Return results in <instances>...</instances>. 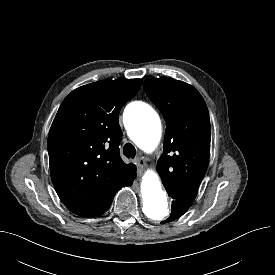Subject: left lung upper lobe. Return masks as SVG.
Here are the masks:
<instances>
[{
    "mask_svg": "<svg viewBox=\"0 0 275 275\" xmlns=\"http://www.w3.org/2000/svg\"><path fill=\"white\" fill-rule=\"evenodd\" d=\"M144 89L167 124L157 165L163 184L198 192L210 155V119L204 99L193 86L169 77L146 79Z\"/></svg>",
    "mask_w": 275,
    "mask_h": 275,
    "instance_id": "left-lung-upper-lobe-1",
    "label": "left lung upper lobe"
}]
</instances>
